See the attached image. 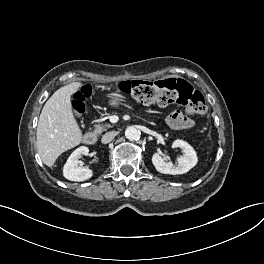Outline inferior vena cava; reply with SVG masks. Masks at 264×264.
Returning a JSON list of instances; mask_svg holds the SVG:
<instances>
[{"label":"inferior vena cava","mask_w":264,"mask_h":264,"mask_svg":"<svg viewBox=\"0 0 264 264\" xmlns=\"http://www.w3.org/2000/svg\"><path fill=\"white\" fill-rule=\"evenodd\" d=\"M116 135H117V133L115 131L107 132L102 136L101 142L103 144H107V143L111 142L115 138Z\"/></svg>","instance_id":"1"}]
</instances>
